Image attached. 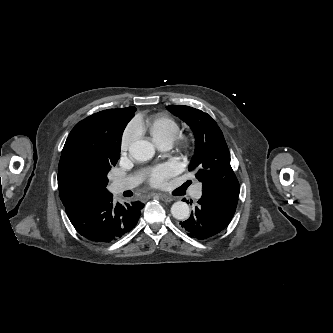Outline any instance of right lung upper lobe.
I'll return each instance as SVG.
<instances>
[{
    "mask_svg": "<svg viewBox=\"0 0 333 333\" xmlns=\"http://www.w3.org/2000/svg\"><path fill=\"white\" fill-rule=\"evenodd\" d=\"M58 188L60 198L66 208L103 198L109 193L107 190L106 194L101 197L99 192L95 189L86 184L75 181L67 174L61 163H59Z\"/></svg>",
    "mask_w": 333,
    "mask_h": 333,
    "instance_id": "cb5924a9",
    "label": "right lung upper lobe"
}]
</instances>
